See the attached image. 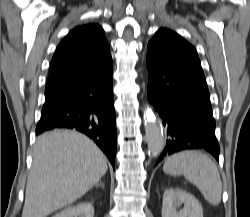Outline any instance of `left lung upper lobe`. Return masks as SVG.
I'll use <instances>...</instances> for the list:
<instances>
[{
	"label": "left lung upper lobe",
	"instance_id": "1",
	"mask_svg": "<svg viewBox=\"0 0 250 217\" xmlns=\"http://www.w3.org/2000/svg\"><path fill=\"white\" fill-rule=\"evenodd\" d=\"M162 54L175 59L193 60L200 64L195 48L177 33L161 28L148 43Z\"/></svg>",
	"mask_w": 250,
	"mask_h": 217
}]
</instances>
